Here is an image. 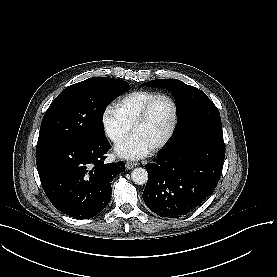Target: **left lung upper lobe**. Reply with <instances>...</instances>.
I'll list each match as a JSON object with an SVG mask.
<instances>
[{"mask_svg": "<svg viewBox=\"0 0 277 277\" xmlns=\"http://www.w3.org/2000/svg\"><path fill=\"white\" fill-rule=\"evenodd\" d=\"M141 86L166 88L172 91L176 98L178 122L172 138L162 150H168L184 141L191 134L208 129L222 132L219 111L214 103L200 89L187 85L177 79H158L144 82ZM201 160L213 163H223L225 153L215 149L202 151ZM179 169L186 175L201 174L197 167V160L184 159L179 162ZM207 174V172L204 171ZM220 176H210L209 180H219Z\"/></svg>", "mask_w": 277, "mask_h": 277, "instance_id": "5c2ea615", "label": "left lung upper lobe"}]
</instances>
